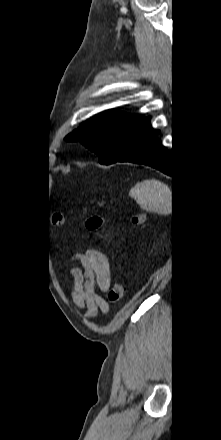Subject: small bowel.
<instances>
[{
  "mask_svg": "<svg viewBox=\"0 0 221 440\" xmlns=\"http://www.w3.org/2000/svg\"><path fill=\"white\" fill-rule=\"evenodd\" d=\"M75 260L81 261L83 270L71 268L74 280L71 297L77 308H85V316L92 318L99 312L106 313L108 304L97 289L107 291L110 286V264L102 252L90 249L85 254L76 255Z\"/></svg>",
  "mask_w": 221,
  "mask_h": 440,
  "instance_id": "obj_1",
  "label": "small bowel"
}]
</instances>
